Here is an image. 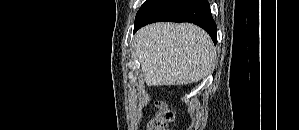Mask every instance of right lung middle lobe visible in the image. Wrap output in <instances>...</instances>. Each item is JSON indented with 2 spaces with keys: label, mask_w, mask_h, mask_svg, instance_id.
<instances>
[{
  "label": "right lung middle lobe",
  "mask_w": 299,
  "mask_h": 130,
  "mask_svg": "<svg viewBox=\"0 0 299 130\" xmlns=\"http://www.w3.org/2000/svg\"><path fill=\"white\" fill-rule=\"evenodd\" d=\"M149 1H150V0H147L144 4H146V3L149 2ZM144 4H143V5H144Z\"/></svg>",
  "instance_id": "1"
}]
</instances>
